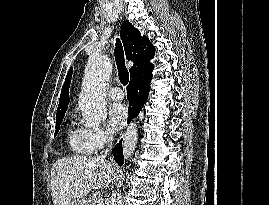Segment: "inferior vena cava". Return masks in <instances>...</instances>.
I'll return each instance as SVG.
<instances>
[{
    "label": "inferior vena cava",
    "instance_id": "obj_1",
    "mask_svg": "<svg viewBox=\"0 0 269 205\" xmlns=\"http://www.w3.org/2000/svg\"><path fill=\"white\" fill-rule=\"evenodd\" d=\"M105 142L108 144V148H106V150L103 151V153L100 155L101 159H105L108 152H109V148H111L112 146V142H113V137L110 135H106L105 136Z\"/></svg>",
    "mask_w": 269,
    "mask_h": 205
}]
</instances>
